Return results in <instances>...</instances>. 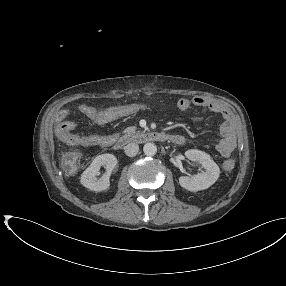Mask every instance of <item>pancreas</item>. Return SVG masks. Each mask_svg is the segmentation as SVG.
Here are the masks:
<instances>
[{"label":"pancreas","mask_w":286,"mask_h":286,"mask_svg":"<svg viewBox=\"0 0 286 286\" xmlns=\"http://www.w3.org/2000/svg\"><path fill=\"white\" fill-rule=\"evenodd\" d=\"M137 127L135 126H130V127H127L123 133H124V138H130L132 137L134 134L137 133Z\"/></svg>","instance_id":"1"}]
</instances>
